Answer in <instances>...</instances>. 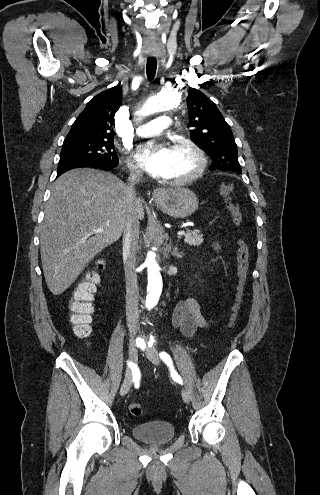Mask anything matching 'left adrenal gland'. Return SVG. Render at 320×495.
Here are the masks:
<instances>
[{
	"label": "left adrenal gland",
	"mask_w": 320,
	"mask_h": 495,
	"mask_svg": "<svg viewBox=\"0 0 320 495\" xmlns=\"http://www.w3.org/2000/svg\"><path fill=\"white\" fill-rule=\"evenodd\" d=\"M170 248H171V247H170ZM177 250H178V249H177V246H176V247L173 249L172 255H173V256L180 257V256H181V254H180V253H178V252H177Z\"/></svg>",
	"instance_id": "obj_1"
}]
</instances>
